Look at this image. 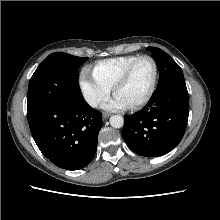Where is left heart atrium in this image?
I'll list each match as a JSON object with an SVG mask.
<instances>
[{
  "label": "left heart atrium",
  "mask_w": 220,
  "mask_h": 220,
  "mask_svg": "<svg viewBox=\"0 0 220 220\" xmlns=\"http://www.w3.org/2000/svg\"><path fill=\"white\" fill-rule=\"evenodd\" d=\"M103 107L108 110H115V109H125L129 106L125 101H123L119 96L115 94L114 97L108 100Z\"/></svg>",
  "instance_id": "39dd6f15"
}]
</instances>
